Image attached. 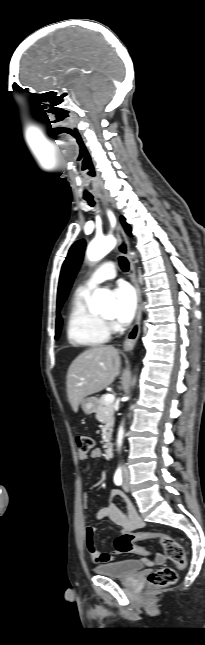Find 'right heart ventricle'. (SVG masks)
Segmentation results:
<instances>
[{
  "label": "right heart ventricle",
  "mask_w": 205,
  "mask_h": 645,
  "mask_svg": "<svg viewBox=\"0 0 205 645\" xmlns=\"http://www.w3.org/2000/svg\"><path fill=\"white\" fill-rule=\"evenodd\" d=\"M90 291L73 295L67 320V338L72 345L94 347L109 339V328L90 305Z\"/></svg>",
  "instance_id": "e07e8e85"
}]
</instances>
